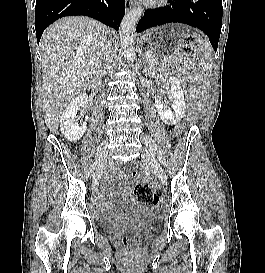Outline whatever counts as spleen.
Segmentation results:
<instances>
[{"instance_id":"1","label":"spleen","mask_w":265,"mask_h":273,"mask_svg":"<svg viewBox=\"0 0 265 273\" xmlns=\"http://www.w3.org/2000/svg\"><path fill=\"white\" fill-rule=\"evenodd\" d=\"M195 41L198 43L199 65L205 77L212 75V49L208 42L204 41L199 35L194 34Z\"/></svg>"}]
</instances>
